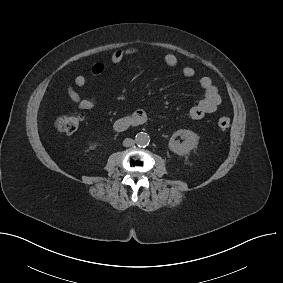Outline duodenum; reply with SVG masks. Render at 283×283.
Segmentation results:
<instances>
[{
    "label": "duodenum",
    "mask_w": 283,
    "mask_h": 283,
    "mask_svg": "<svg viewBox=\"0 0 283 283\" xmlns=\"http://www.w3.org/2000/svg\"><path fill=\"white\" fill-rule=\"evenodd\" d=\"M143 123L142 119L136 118L135 116H127L116 120L114 123V129L121 132L132 126L141 125Z\"/></svg>",
    "instance_id": "obj_1"
}]
</instances>
